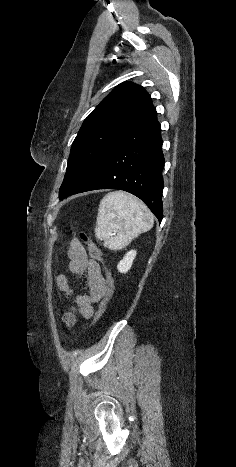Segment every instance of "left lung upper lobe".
Listing matches in <instances>:
<instances>
[{"label":"left lung upper lobe","mask_w":236,"mask_h":467,"mask_svg":"<svg viewBox=\"0 0 236 467\" xmlns=\"http://www.w3.org/2000/svg\"><path fill=\"white\" fill-rule=\"evenodd\" d=\"M153 109L150 95L131 82L118 85L105 97L85 119L72 144L60 199L79 190L112 145Z\"/></svg>","instance_id":"1"}]
</instances>
